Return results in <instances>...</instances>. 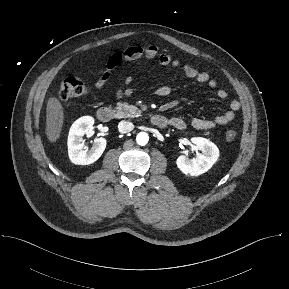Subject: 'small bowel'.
<instances>
[{
	"label": "small bowel",
	"instance_id": "c3829d8e",
	"mask_svg": "<svg viewBox=\"0 0 289 289\" xmlns=\"http://www.w3.org/2000/svg\"><path fill=\"white\" fill-rule=\"evenodd\" d=\"M140 60H155L160 66H172L181 68L183 74L196 83L204 84L211 89H215V94L219 99H225L228 93L224 89L217 88V81L212 78L206 71H201L191 64H183L179 60L172 58L168 53L161 52L155 45L148 46H130L123 51L113 53L107 60L106 69L95 83L97 90H101L110 80L113 71L122 63L134 62ZM130 78L127 79L129 83ZM172 89L169 86H160L156 90V95L159 97H167L171 94ZM132 89H118L116 98L122 96H130ZM240 109V103L237 100L229 102V109L224 113L216 116L213 119L192 118L189 122L190 126L197 130H209L217 126H224L230 123L235 118V113ZM169 124L179 130H183L188 126V123L180 117H172L169 119Z\"/></svg>",
	"mask_w": 289,
	"mask_h": 289
}]
</instances>
